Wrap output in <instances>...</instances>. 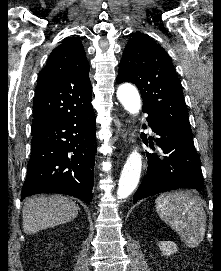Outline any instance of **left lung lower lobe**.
Wrapping results in <instances>:
<instances>
[{"mask_svg": "<svg viewBox=\"0 0 221 271\" xmlns=\"http://www.w3.org/2000/svg\"><path fill=\"white\" fill-rule=\"evenodd\" d=\"M147 121L156 134L149 139L151 148L155 149L151 142L154 140L165 155L147 153V174L134 194L133 202L180 187L201 191L203 176L193 137L151 114H148ZM142 139L147 144L145 134H142Z\"/></svg>", "mask_w": 221, "mask_h": 271, "instance_id": "1", "label": "left lung lower lobe"}]
</instances>
